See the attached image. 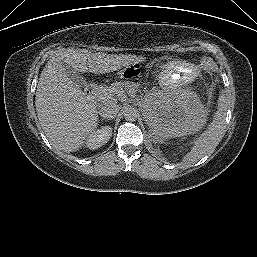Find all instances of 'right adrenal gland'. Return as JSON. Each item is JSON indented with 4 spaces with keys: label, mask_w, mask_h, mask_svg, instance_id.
Here are the masks:
<instances>
[{
    "label": "right adrenal gland",
    "mask_w": 257,
    "mask_h": 257,
    "mask_svg": "<svg viewBox=\"0 0 257 257\" xmlns=\"http://www.w3.org/2000/svg\"><path fill=\"white\" fill-rule=\"evenodd\" d=\"M102 121H111L112 119H105V118H101Z\"/></svg>",
    "instance_id": "2a0ac1e0"
}]
</instances>
